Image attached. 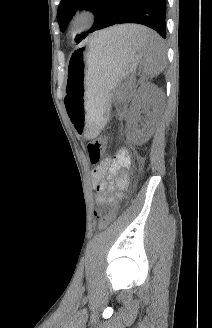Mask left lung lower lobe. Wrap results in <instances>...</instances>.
I'll list each match as a JSON object with an SVG mask.
<instances>
[{
	"label": "left lung lower lobe",
	"instance_id": "obj_1",
	"mask_svg": "<svg viewBox=\"0 0 212 328\" xmlns=\"http://www.w3.org/2000/svg\"><path fill=\"white\" fill-rule=\"evenodd\" d=\"M165 15L166 0H106L94 31L115 24L138 23L154 29L165 39Z\"/></svg>",
	"mask_w": 212,
	"mask_h": 328
}]
</instances>
